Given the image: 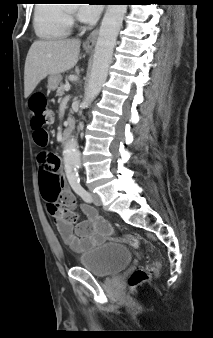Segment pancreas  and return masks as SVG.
I'll return each instance as SVG.
<instances>
[{"label":"pancreas","instance_id":"cf45deb5","mask_svg":"<svg viewBox=\"0 0 213 338\" xmlns=\"http://www.w3.org/2000/svg\"><path fill=\"white\" fill-rule=\"evenodd\" d=\"M65 86L63 84L60 85V87H58L57 91H56V96L58 97H62L64 95V91H65Z\"/></svg>","mask_w":213,"mask_h":338}]
</instances>
